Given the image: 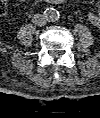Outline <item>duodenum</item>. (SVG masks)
I'll use <instances>...</instances> for the list:
<instances>
[{
	"label": "duodenum",
	"instance_id": "1",
	"mask_svg": "<svg viewBox=\"0 0 100 118\" xmlns=\"http://www.w3.org/2000/svg\"><path fill=\"white\" fill-rule=\"evenodd\" d=\"M62 2H63V0H52L51 3H53V4H59V3H62Z\"/></svg>",
	"mask_w": 100,
	"mask_h": 118
}]
</instances>
